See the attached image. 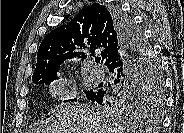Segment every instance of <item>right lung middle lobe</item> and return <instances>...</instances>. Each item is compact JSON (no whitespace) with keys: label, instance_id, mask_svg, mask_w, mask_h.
I'll list each match as a JSON object with an SVG mask.
<instances>
[{"label":"right lung middle lobe","instance_id":"right-lung-middle-lobe-1","mask_svg":"<svg viewBox=\"0 0 184 133\" xmlns=\"http://www.w3.org/2000/svg\"><path fill=\"white\" fill-rule=\"evenodd\" d=\"M128 20L131 23L132 30L136 36L135 38H137L145 48L144 58L146 65L142 81L134 84L128 93L125 94V96L113 99L109 106L113 109L114 112L137 111L149 106V104H156L159 107L163 103L162 97L160 96L163 91V81L161 77L160 66L154 59L149 46L143 40L140 30L137 29L130 18H128ZM55 79H58L57 75L40 79L36 82V84L44 83L49 85ZM84 92L87 96L94 91L90 90Z\"/></svg>","mask_w":184,"mask_h":133}]
</instances>
